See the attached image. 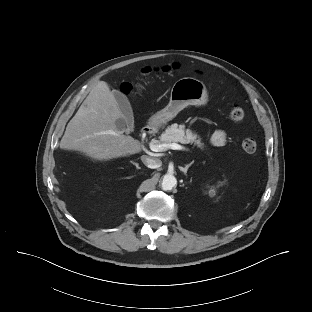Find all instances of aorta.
I'll list each match as a JSON object with an SVG mask.
<instances>
[{"label":"aorta","mask_w":312,"mask_h":312,"mask_svg":"<svg viewBox=\"0 0 312 312\" xmlns=\"http://www.w3.org/2000/svg\"><path fill=\"white\" fill-rule=\"evenodd\" d=\"M177 184L176 178L171 174H165L161 181V187L163 190H171Z\"/></svg>","instance_id":"aorta-1"}]
</instances>
